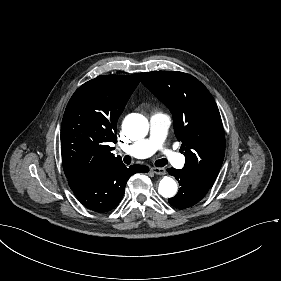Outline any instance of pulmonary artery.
Instances as JSON below:
<instances>
[{
	"label": "pulmonary artery",
	"mask_w": 281,
	"mask_h": 281,
	"mask_svg": "<svg viewBox=\"0 0 281 281\" xmlns=\"http://www.w3.org/2000/svg\"><path fill=\"white\" fill-rule=\"evenodd\" d=\"M171 125V118L164 113H157L152 119L148 121L147 130L151 133L148 138L142 141H136L133 144L132 151L137 156L147 158L155 151L161 150L167 162L175 168L183 165V158L172 150L163 149V139L166 137L168 127Z\"/></svg>",
	"instance_id": "obj_1"
}]
</instances>
